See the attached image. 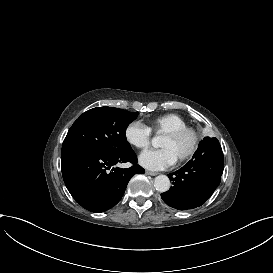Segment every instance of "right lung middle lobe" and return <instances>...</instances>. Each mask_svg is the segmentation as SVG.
Returning <instances> with one entry per match:
<instances>
[{"label":"right lung middle lobe","mask_w":273,"mask_h":273,"mask_svg":"<svg viewBox=\"0 0 273 273\" xmlns=\"http://www.w3.org/2000/svg\"><path fill=\"white\" fill-rule=\"evenodd\" d=\"M138 112L114 107H98L84 112L69 129L61 156L83 150L125 153L131 150L125 131Z\"/></svg>","instance_id":"dd1d6c3e"}]
</instances>
